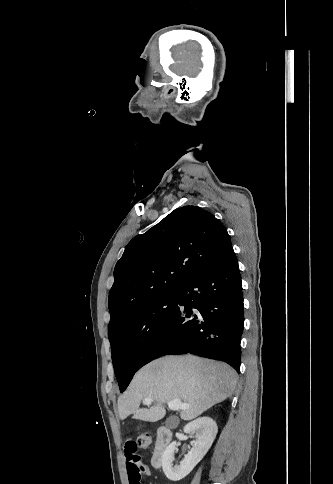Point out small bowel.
<instances>
[{
	"instance_id": "obj_1",
	"label": "small bowel",
	"mask_w": 333,
	"mask_h": 484,
	"mask_svg": "<svg viewBox=\"0 0 333 484\" xmlns=\"http://www.w3.org/2000/svg\"><path fill=\"white\" fill-rule=\"evenodd\" d=\"M138 446L132 440L125 443V457L129 484H141L143 474L150 475V469L145 465L142 457L137 453Z\"/></svg>"
}]
</instances>
